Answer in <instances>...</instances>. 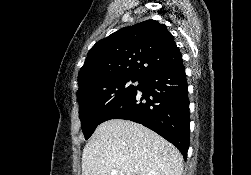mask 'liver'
I'll return each instance as SVG.
<instances>
[{"instance_id": "liver-1", "label": "liver", "mask_w": 251, "mask_h": 175, "mask_svg": "<svg viewBox=\"0 0 251 175\" xmlns=\"http://www.w3.org/2000/svg\"><path fill=\"white\" fill-rule=\"evenodd\" d=\"M181 175L183 157L164 137L129 119L96 127L82 153V175Z\"/></svg>"}]
</instances>
